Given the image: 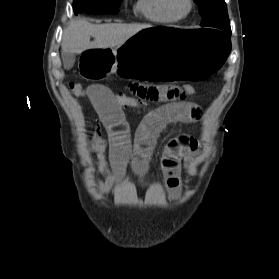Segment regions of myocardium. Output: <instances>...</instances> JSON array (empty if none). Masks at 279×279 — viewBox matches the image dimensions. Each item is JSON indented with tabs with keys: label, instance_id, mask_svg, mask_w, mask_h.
I'll return each instance as SVG.
<instances>
[{
	"label": "myocardium",
	"instance_id": "1",
	"mask_svg": "<svg viewBox=\"0 0 279 279\" xmlns=\"http://www.w3.org/2000/svg\"><path fill=\"white\" fill-rule=\"evenodd\" d=\"M166 1H167V9L175 19H184L188 17L193 12L195 7L194 0H187L188 9L185 12H179L176 9L177 0H166Z\"/></svg>",
	"mask_w": 279,
	"mask_h": 279
}]
</instances>
